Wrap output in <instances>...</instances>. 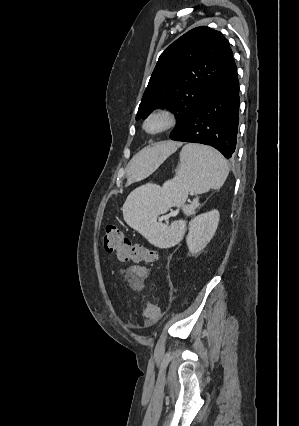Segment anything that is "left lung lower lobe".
Listing matches in <instances>:
<instances>
[{"label":"left lung lower lobe","mask_w":299,"mask_h":426,"mask_svg":"<svg viewBox=\"0 0 299 426\" xmlns=\"http://www.w3.org/2000/svg\"><path fill=\"white\" fill-rule=\"evenodd\" d=\"M238 109V74L232 60L218 82L194 109L186 125L171 139L210 145L226 158H231L236 148Z\"/></svg>","instance_id":"0a47b994"}]
</instances>
